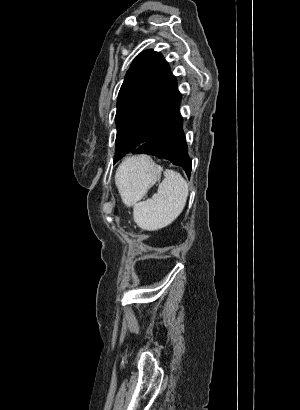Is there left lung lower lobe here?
I'll return each mask as SVG.
<instances>
[{
  "mask_svg": "<svg viewBox=\"0 0 300 410\" xmlns=\"http://www.w3.org/2000/svg\"><path fill=\"white\" fill-rule=\"evenodd\" d=\"M178 104L152 132L147 141L133 153H145L170 160L182 167L189 176L192 169L182 127V116Z\"/></svg>",
  "mask_w": 300,
  "mask_h": 410,
  "instance_id": "obj_1",
  "label": "left lung lower lobe"
}]
</instances>
